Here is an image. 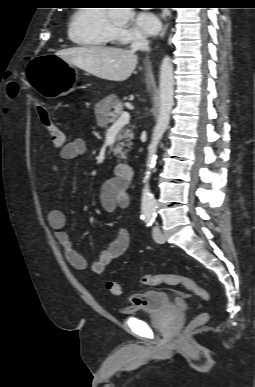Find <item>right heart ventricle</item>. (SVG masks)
<instances>
[{"label": "right heart ventricle", "instance_id": "obj_1", "mask_svg": "<svg viewBox=\"0 0 255 387\" xmlns=\"http://www.w3.org/2000/svg\"><path fill=\"white\" fill-rule=\"evenodd\" d=\"M114 24L102 7H83L75 10L68 23L69 39L84 47H105L114 39Z\"/></svg>", "mask_w": 255, "mask_h": 387}]
</instances>
